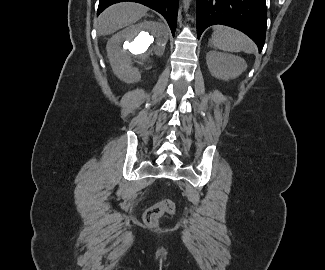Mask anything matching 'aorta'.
I'll return each mask as SVG.
<instances>
[{
  "mask_svg": "<svg viewBox=\"0 0 325 270\" xmlns=\"http://www.w3.org/2000/svg\"><path fill=\"white\" fill-rule=\"evenodd\" d=\"M191 0H183L184 11L187 12L190 6Z\"/></svg>",
  "mask_w": 325,
  "mask_h": 270,
  "instance_id": "762f6f07",
  "label": "aorta"
}]
</instances>
